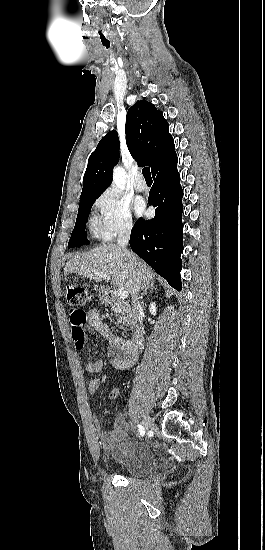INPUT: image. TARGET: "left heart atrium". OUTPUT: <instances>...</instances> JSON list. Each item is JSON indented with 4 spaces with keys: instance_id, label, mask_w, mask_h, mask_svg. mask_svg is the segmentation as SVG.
I'll return each instance as SVG.
<instances>
[{
    "instance_id": "obj_1",
    "label": "left heart atrium",
    "mask_w": 265,
    "mask_h": 550,
    "mask_svg": "<svg viewBox=\"0 0 265 550\" xmlns=\"http://www.w3.org/2000/svg\"><path fill=\"white\" fill-rule=\"evenodd\" d=\"M136 210L138 214H142L144 211L143 205L142 204L137 205Z\"/></svg>"
}]
</instances>
